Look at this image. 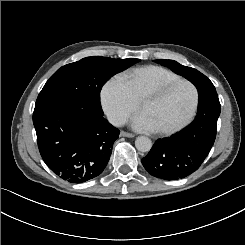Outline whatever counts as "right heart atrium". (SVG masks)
<instances>
[{
  "mask_svg": "<svg viewBox=\"0 0 245 245\" xmlns=\"http://www.w3.org/2000/svg\"><path fill=\"white\" fill-rule=\"evenodd\" d=\"M101 102L109 120L123 125L135 112L137 102L128 89L116 77L105 83L101 90Z\"/></svg>",
  "mask_w": 245,
  "mask_h": 245,
  "instance_id": "obj_1",
  "label": "right heart atrium"
}]
</instances>
